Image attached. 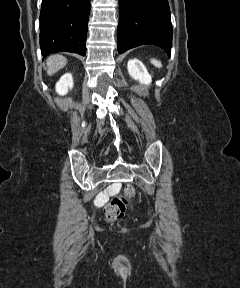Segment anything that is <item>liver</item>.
Masks as SVG:
<instances>
[{"label":"liver","mask_w":240,"mask_h":288,"mask_svg":"<svg viewBox=\"0 0 240 288\" xmlns=\"http://www.w3.org/2000/svg\"><path fill=\"white\" fill-rule=\"evenodd\" d=\"M46 64L47 74L51 76L66 66L67 59L62 55H52L47 59Z\"/></svg>","instance_id":"1"}]
</instances>
